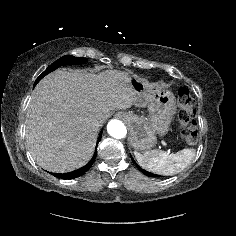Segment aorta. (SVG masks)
Listing matches in <instances>:
<instances>
[{"mask_svg": "<svg viewBox=\"0 0 236 236\" xmlns=\"http://www.w3.org/2000/svg\"><path fill=\"white\" fill-rule=\"evenodd\" d=\"M107 131L112 137L116 139L124 138L127 133L124 123L117 119L109 121L107 125Z\"/></svg>", "mask_w": 236, "mask_h": 236, "instance_id": "aorta-1", "label": "aorta"}]
</instances>
